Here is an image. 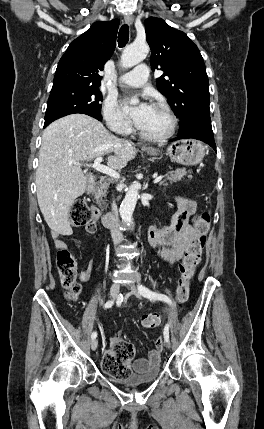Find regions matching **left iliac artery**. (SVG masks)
I'll list each match as a JSON object with an SVG mask.
<instances>
[{"label": "left iliac artery", "mask_w": 264, "mask_h": 429, "mask_svg": "<svg viewBox=\"0 0 264 429\" xmlns=\"http://www.w3.org/2000/svg\"><path fill=\"white\" fill-rule=\"evenodd\" d=\"M138 290H139L140 294H142L144 297H146L150 300H161V301H164L170 305L172 304V301L170 300L169 297H167L166 295L157 293V292H153L149 288H147L146 286H144L142 284H138ZM163 334H164L165 341L169 342V324H166Z\"/></svg>", "instance_id": "obj_1"}]
</instances>
